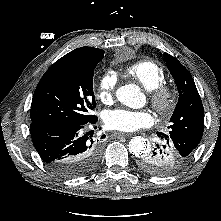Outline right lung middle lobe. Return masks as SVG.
<instances>
[{"label": "right lung middle lobe", "mask_w": 221, "mask_h": 221, "mask_svg": "<svg viewBox=\"0 0 221 221\" xmlns=\"http://www.w3.org/2000/svg\"><path fill=\"white\" fill-rule=\"evenodd\" d=\"M104 55L55 62L43 75L31 104V122L81 125L97 117L93 75Z\"/></svg>", "instance_id": "right-lung-middle-lobe-1"}]
</instances>
